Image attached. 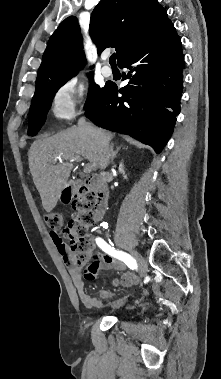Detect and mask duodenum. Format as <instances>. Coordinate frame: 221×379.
<instances>
[{
    "instance_id": "410a0bca",
    "label": "duodenum",
    "mask_w": 221,
    "mask_h": 379,
    "mask_svg": "<svg viewBox=\"0 0 221 379\" xmlns=\"http://www.w3.org/2000/svg\"><path fill=\"white\" fill-rule=\"evenodd\" d=\"M89 190L95 193L94 218L102 219L107 209L108 190L99 176H90L84 181H71L63 192V196L70 202L78 199L80 195Z\"/></svg>"
}]
</instances>
